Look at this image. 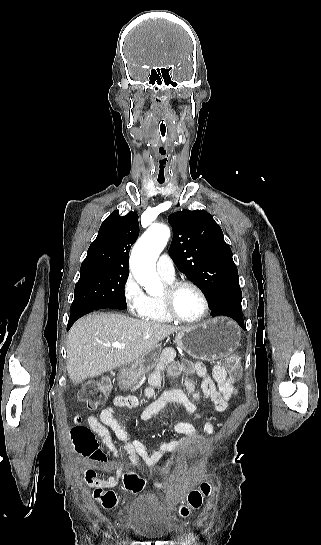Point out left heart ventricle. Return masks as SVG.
I'll use <instances>...</instances> for the list:
<instances>
[{
	"instance_id": "1",
	"label": "left heart ventricle",
	"mask_w": 321,
	"mask_h": 545,
	"mask_svg": "<svg viewBox=\"0 0 321 545\" xmlns=\"http://www.w3.org/2000/svg\"><path fill=\"white\" fill-rule=\"evenodd\" d=\"M167 293L164 289L161 299H165ZM173 308L179 317L186 320H194L203 312V303L199 294L191 289L180 290L172 300Z\"/></svg>"
}]
</instances>
